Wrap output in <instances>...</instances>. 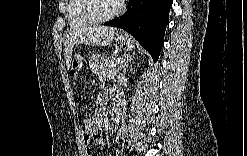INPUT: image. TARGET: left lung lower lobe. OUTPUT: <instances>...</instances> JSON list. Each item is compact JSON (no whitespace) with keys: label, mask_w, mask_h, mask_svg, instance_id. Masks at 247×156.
Returning a JSON list of instances; mask_svg holds the SVG:
<instances>
[{"label":"left lung lower lobe","mask_w":247,"mask_h":156,"mask_svg":"<svg viewBox=\"0 0 247 156\" xmlns=\"http://www.w3.org/2000/svg\"><path fill=\"white\" fill-rule=\"evenodd\" d=\"M171 5L172 0H129L127 11L104 25L122 28L132 34L157 61Z\"/></svg>","instance_id":"0a47b994"}]
</instances>
